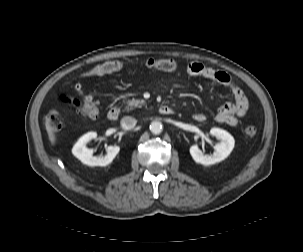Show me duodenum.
<instances>
[{
	"mask_svg": "<svg viewBox=\"0 0 303 252\" xmlns=\"http://www.w3.org/2000/svg\"><path fill=\"white\" fill-rule=\"evenodd\" d=\"M159 110L164 115H169V114L173 113V108L168 105L161 106ZM120 111H121L120 107L118 105H114L108 112V118L111 121L117 120V118L120 115Z\"/></svg>",
	"mask_w": 303,
	"mask_h": 252,
	"instance_id": "1",
	"label": "duodenum"
}]
</instances>
